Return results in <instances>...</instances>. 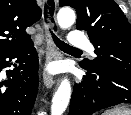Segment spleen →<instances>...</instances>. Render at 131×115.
I'll list each match as a JSON object with an SVG mask.
<instances>
[{"label": "spleen", "mask_w": 131, "mask_h": 115, "mask_svg": "<svg viewBox=\"0 0 131 115\" xmlns=\"http://www.w3.org/2000/svg\"><path fill=\"white\" fill-rule=\"evenodd\" d=\"M102 115H131V110L123 108H114L105 111Z\"/></svg>", "instance_id": "obj_1"}]
</instances>
